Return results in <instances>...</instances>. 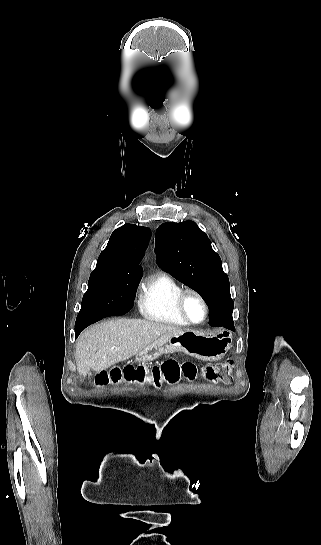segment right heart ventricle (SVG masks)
<instances>
[{
    "label": "right heart ventricle",
    "instance_id": "e07e8e85",
    "mask_svg": "<svg viewBox=\"0 0 321 545\" xmlns=\"http://www.w3.org/2000/svg\"><path fill=\"white\" fill-rule=\"evenodd\" d=\"M182 289L183 286L171 275L155 272L139 301L141 316L160 325L186 327L174 308L175 298Z\"/></svg>",
    "mask_w": 321,
    "mask_h": 545
}]
</instances>
